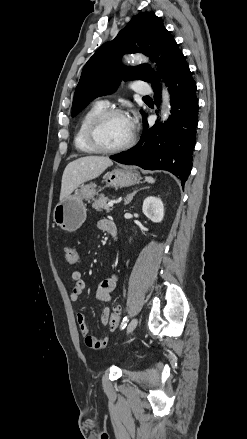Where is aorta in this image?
I'll return each instance as SVG.
<instances>
[{
  "label": "aorta",
  "instance_id": "762f6f07",
  "mask_svg": "<svg viewBox=\"0 0 247 439\" xmlns=\"http://www.w3.org/2000/svg\"><path fill=\"white\" fill-rule=\"evenodd\" d=\"M145 58L140 55V54H135V55H131L126 57V61L128 63H138L143 61ZM162 97H163V103H164V107L162 110V119L163 121H165L169 114H170V97H169V93L166 87H163V91H162Z\"/></svg>",
  "mask_w": 247,
  "mask_h": 439
}]
</instances>
